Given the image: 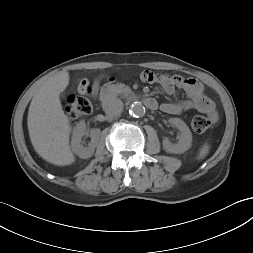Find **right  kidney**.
I'll list each match as a JSON object with an SVG mask.
<instances>
[{"label": "right kidney", "instance_id": "1", "mask_svg": "<svg viewBox=\"0 0 253 253\" xmlns=\"http://www.w3.org/2000/svg\"><path fill=\"white\" fill-rule=\"evenodd\" d=\"M87 133L86 124L82 121L75 126L71 140L72 151L82 159L90 158L94 154L95 148L99 143L101 131L98 128L91 129V142L88 144V147H84L81 144V140Z\"/></svg>", "mask_w": 253, "mask_h": 253}]
</instances>
